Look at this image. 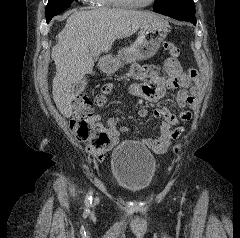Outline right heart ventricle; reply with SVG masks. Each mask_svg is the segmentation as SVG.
Listing matches in <instances>:
<instances>
[{"label":"right heart ventricle","instance_id":"right-heart-ventricle-1","mask_svg":"<svg viewBox=\"0 0 240 238\" xmlns=\"http://www.w3.org/2000/svg\"><path fill=\"white\" fill-rule=\"evenodd\" d=\"M99 6L103 7H119L120 5L116 2V0H99L97 2Z\"/></svg>","mask_w":240,"mask_h":238}]
</instances>
